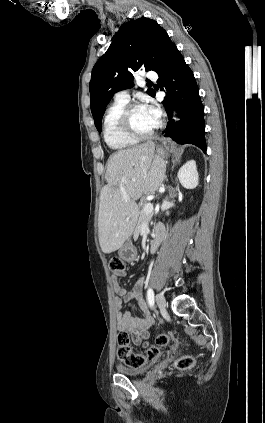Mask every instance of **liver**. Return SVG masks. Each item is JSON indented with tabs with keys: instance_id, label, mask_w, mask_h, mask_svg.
I'll return each mask as SVG.
<instances>
[{
	"instance_id": "liver-1",
	"label": "liver",
	"mask_w": 265,
	"mask_h": 423,
	"mask_svg": "<svg viewBox=\"0 0 265 423\" xmlns=\"http://www.w3.org/2000/svg\"><path fill=\"white\" fill-rule=\"evenodd\" d=\"M99 207L98 233L106 254L120 249L132 234L137 217L136 201L143 194L156 192L166 172V164L155 154L152 141L123 149L107 161Z\"/></svg>"
}]
</instances>
